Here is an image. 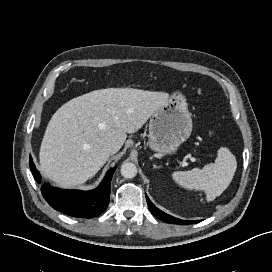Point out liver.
I'll return each mask as SVG.
<instances>
[{"label": "liver", "mask_w": 272, "mask_h": 272, "mask_svg": "<svg viewBox=\"0 0 272 272\" xmlns=\"http://www.w3.org/2000/svg\"><path fill=\"white\" fill-rule=\"evenodd\" d=\"M168 99L165 92L133 88L94 90L71 99L47 125L40 170L62 187L84 184L108 160L104 144L112 141L120 149L127 133L137 132Z\"/></svg>", "instance_id": "1"}]
</instances>
